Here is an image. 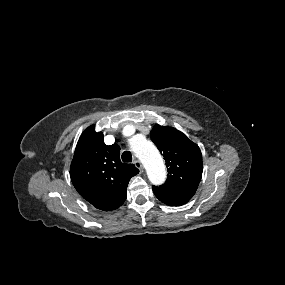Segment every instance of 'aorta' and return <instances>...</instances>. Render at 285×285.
<instances>
[{"mask_svg": "<svg viewBox=\"0 0 285 285\" xmlns=\"http://www.w3.org/2000/svg\"><path fill=\"white\" fill-rule=\"evenodd\" d=\"M130 146L144 164L150 182L154 185L163 184L166 180V169L155 145L145 137L136 135L130 140Z\"/></svg>", "mask_w": 285, "mask_h": 285, "instance_id": "762f6f07", "label": "aorta"}]
</instances>
